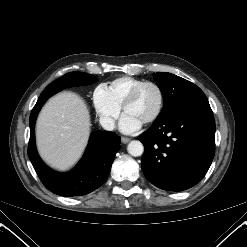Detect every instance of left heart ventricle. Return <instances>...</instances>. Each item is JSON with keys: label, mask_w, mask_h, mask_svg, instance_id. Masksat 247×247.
I'll return each mask as SVG.
<instances>
[{"label": "left heart ventricle", "mask_w": 247, "mask_h": 247, "mask_svg": "<svg viewBox=\"0 0 247 247\" xmlns=\"http://www.w3.org/2000/svg\"><path fill=\"white\" fill-rule=\"evenodd\" d=\"M158 101L159 97L156 89L152 86H147L140 92L137 99L126 108L125 113L144 122L154 114Z\"/></svg>", "instance_id": "b2bd125f"}]
</instances>
